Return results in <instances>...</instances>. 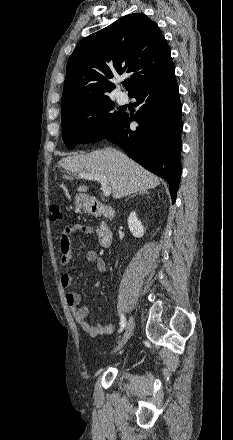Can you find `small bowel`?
Masks as SVG:
<instances>
[{
    "mask_svg": "<svg viewBox=\"0 0 233 440\" xmlns=\"http://www.w3.org/2000/svg\"><path fill=\"white\" fill-rule=\"evenodd\" d=\"M76 233L91 234L92 228L83 224H70L62 228L60 233V263L63 266L68 265L73 256L71 237ZM86 259L95 265L98 272L103 273L106 270V263L103 258L95 250H89L86 253ZM60 284L63 288H69L72 284V273L67 271L61 275ZM67 305L69 306L74 319L78 322L81 329L86 332L90 337H98L101 335L111 334L115 326L113 324H96L92 325L86 317L89 314V308L87 306H80L81 296L75 291H67L65 294Z\"/></svg>",
    "mask_w": 233,
    "mask_h": 440,
    "instance_id": "obj_1",
    "label": "small bowel"
}]
</instances>
